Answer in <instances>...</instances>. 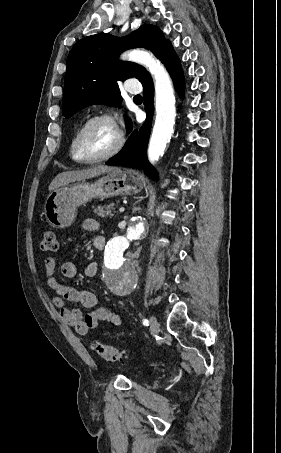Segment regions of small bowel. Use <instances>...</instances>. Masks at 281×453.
<instances>
[{
  "label": "small bowel",
  "instance_id": "1",
  "mask_svg": "<svg viewBox=\"0 0 281 453\" xmlns=\"http://www.w3.org/2000/svg\"><path fill=\"white\" fill-rule=\"evenodd\" d=\"M99 229L97 221L92 219L84 220L82 223L83 233L96 232ZM104 238L96 237L94 244L96 249L101 251L103 249ZM56 264V258L49 256L45 260V268L43 271V280L47 287L55 292L57 296L53 297L52 303L55 308L59 310L61 317L81 336H85L88 332L98 326L101 321H108L113 325H121L122 318L111 309L96 308L93 309L96 304L95 295L86 289H77L58 281L57 276L54 272V266ZM99 269L97 262H89L84 270L83 275L86 278L94 277ZM61 274L64 278L73 279L78 275L76 264L72 261L64 262L61 265ZM65 301L71 303H78L85 308L93 309L90 313L83 316L82 312L77 308H68Z\"/></svg>",
  "mask_w": 281,
  "mask_h": 453
}]
</instances>
